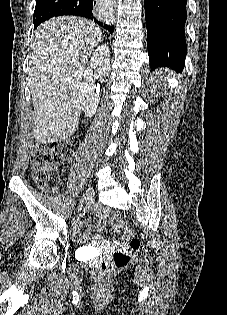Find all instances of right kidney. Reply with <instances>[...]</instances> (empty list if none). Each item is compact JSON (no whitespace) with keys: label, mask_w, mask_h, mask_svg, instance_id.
I'll use <instances>...</instances> for the list:
<instances>
[{"label":"right kidney","mask_w":227,"mask_h":315,"mask_svg":"<svg viewBox=\"0 0 227 315\" xmlns=\"http://www.w3.org/2000/svg\"><path fill=\"white\" fill-rule=\"evenodd\" d=\"M110 72V54L106 45L99 46L93 53L90 61V67L84 72L85 82L79 89V102L86 117H92L99 104V93L94 92L93 81L94 73L101 76H107Z\"/></svg>","instance_id":"ca27d5eb"}]
</instances>
